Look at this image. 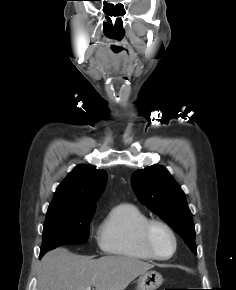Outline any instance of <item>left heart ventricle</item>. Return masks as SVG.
Wrapping results in <instances>:
<instances>
[{
	"mask_svg": "<svg viewBox=\"0 0 236 290\" xmlns=\"http://www.w3.org/2000/svg\"><path fill=\"white\" fill-rule=\"evenodd\" d=\"M152 244L155 251L161 256H167L173 250V241L170 235L160 227L153 229Z\"/></svg>",
	"mask_w": 236,
	"mask_h": 290,
	"instance_id": "1",
	"label": "left heart ventricle"
}]
</instances>
